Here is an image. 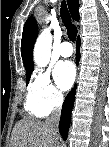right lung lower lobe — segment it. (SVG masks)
<instances>
[{
    "label": "right lung lower lobe",
    "mask_w": 109,
    "mask_h": 147,
    "mask_svg": "<svg viewBox=\"0 0 109 147\" xmlns=\"http://www.w3.org/2000/svg\"><path fill=\"white\" fill-rule=\"evenodd\" d=\"M76 45H77L76 60L78 62V60L80 58V53L78 51V48L80 46L79 37H78ZM75 88H76V85L71 90V92H69L68 95L66 96L65 101L63 103L62 111H61V118H60V122H59V131H60V134L64 140L67 139L68 129H69L70 121H71V112L73 109L74 99H75Z\"/></svg>",
    "instance_id": "right-lung-lower-lobe-1"
}]
</instances>
